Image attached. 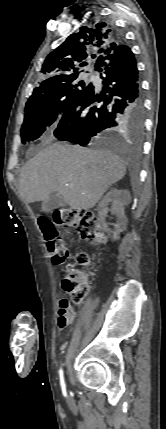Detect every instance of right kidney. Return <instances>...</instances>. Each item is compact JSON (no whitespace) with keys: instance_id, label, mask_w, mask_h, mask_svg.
Returning <instances> with one entry per match:
<instances>
[{"instance_id":"obj_1","label":"right kidney","mask_w":166,"mask_h":429,"mask_svg":"<svg viewBox=\"0 0 166 429\" xmlns=\"http://www.w3.org/2000/svg\"><path fill=\"white\" fill-rule=\"evenodd\" d=\"M130 200L131 196L128 190H119L117 188H111L101 200V202L98 204L97 210L99 220L103 228L112 233L113 240L118 239L119 234L126 228L127 218L124 214V206L129 204ZM109 204H111V209L108 208ZM109 210L117 216V222L114 225L115 228L113 231L108 229L105 219Z\"/></svg>"}]
</instances>
